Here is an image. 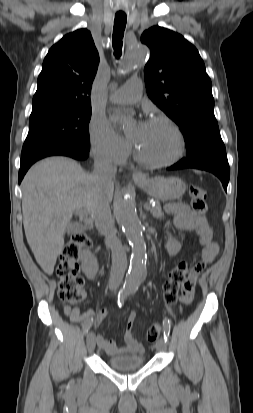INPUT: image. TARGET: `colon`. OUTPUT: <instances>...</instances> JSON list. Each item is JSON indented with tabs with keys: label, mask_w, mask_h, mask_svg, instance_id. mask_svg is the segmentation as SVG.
I'll return each instance as SVG.
<instances>
[{
	"label": "colon",
	"mask_w": 253,
	"mask_h": 413,
	"mask_svg": "<svg viewBox=\"0 0 253 413\" xmlns=\"http://www.w3.org/2000/svg\"><path fill=\"white\" fill-rule=\"evenodd\" d=\"M190 205L193 212L198 217V233L204 234L208 230L207 216V193L204 188L193 185L189 190ZM90 245V238L84 232H78L71 236L70 240L64 245L56 267V275L59 279L58 295L59 298L74 307L81 304L86 298L84 280L80 275L79 257L83 248ZM189 266L186 261H181L177 266L169 271L163 282V301L165 304L174 305L179 298V286L185 273H188ZM161 333V326L154 324L147 330L146 337L150 342L158 339Z\"/></svg>",
	"instance_id": "obj_1"
}]
</instances>
